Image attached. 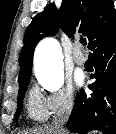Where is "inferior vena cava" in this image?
Segmentation results:
<instances>
[{"label": "inferior vena cava", "mask_w": 116, "mask_h": 134, "mask_svg": "<svg viewBox=\"0 0 116 134\" xmlns=\"http://www.w3.org/2000/svg\"><path fill=\"white\" fill-rule=\"evenodd\" d=\"M72 110V105L68 104L59 111L53 120L52 128L56 134H64V124L67 122Z\"/></svg>", "instance_id": "inferior-vena-cava-1"}]
</instances>
